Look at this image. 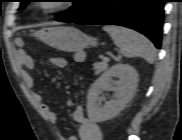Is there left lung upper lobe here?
I'll return each mask as SVG.
<instances>
[{
	"label": "left lung upper lobe",
	"instance_id": "5c2ea615",
	"mask_svg": "<svg viewBox=\"0 0 182 140\" xmlns=\"http://www.w3.org/2000/svg\"><path fill=\"white\" fill-rule=\"evenodd\" d=\"M20 2L19 10H23L31 0H20ZM72 2L74 5L71 9L56 15L57 21L71 23L80 19L96 9L102 0H73Z\"/></svg>",
	"mask_w": 182,
	"mask_h": 140
}]
</instances>
